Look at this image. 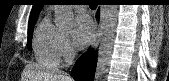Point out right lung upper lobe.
Listing matches in <instances>:
<instances>
[{
    "label": "right lung upper lobe",
    "mask_w": 169,
    "mask_h": 81,
    "mask_svg": "<svg viewBox=\"0 0 169 81\" xmlns=\"http://www.w3.org/2000/svg\"><path fill=\"white\" fill-rule=\"evenodd\" d=\"M43 6V1L42 0H35V4L33 5L29 22H33L37 20V17L39 15V12Z\"/></svg>",
    "instance_id": "right-lung-upper-lobe-1"
}]
</instances>
